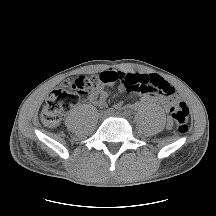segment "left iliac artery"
I'll list each match as a JSON object with an SVG mask.
<instances>
[{
  "mask_svg": "<svg viewBox=\"0 0 216 216\" xmlns=\"http://www.w3.org/2000/svg\"><path fill=\"white\" fill-rule=\"evenodd\" d=\"M123 114H124L126 117H128V116H130V111L125 110V111L123 112Z\"/></svg>",
  "mask_w": 216,
  "mask_h": 216,
  "instance_id": "44dca946",
  "label": "left iliac artery"
}]
</instances>
